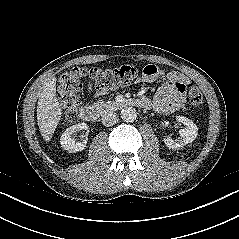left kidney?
<instances>
[{
    "label": "left kidney",
    "instance_id": "1",
    "mask_svg": "<svg viewBox=\"0 0 239 239\" xmlns=\"http://www.w3.org/2000/svg\"><path fill=\"white\" fill-rule=\"evenodd\" d=\"M176 120L181 122L185 128L179 131L180 137L176 140L171 138H164V143L170 149L182 148L188 143L193 142L198 135V128L192 120L185 116H177Z\"/></svg>",
    "mask_w": 239,
    "mask_h": 239
}]
</instances>
